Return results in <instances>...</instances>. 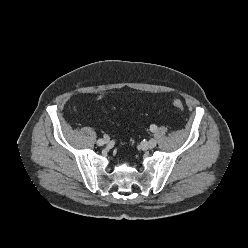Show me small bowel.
Wrapping results in <instances>:
<instances>
[{"mask_svg":"<svg viewBox=\"0 0 248 248\" xmlns=\"http://www.w3.org/2000/svg\"><path fill=\"white\" fill-rule=\"evenodd\" d=\"M103 98H105V95H104V94H98V95L96 96V99H97V100H100V99H103Z\"/></svg>","mask_w":248,"mask_h":248,"instance_id":"small-bowel-1","label":"small bowel"}]
</instances>
